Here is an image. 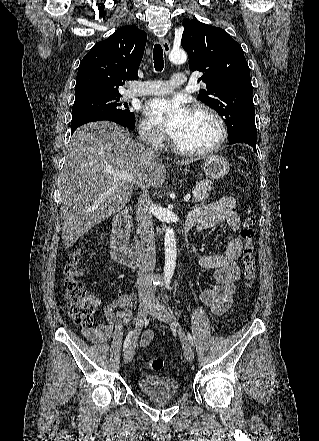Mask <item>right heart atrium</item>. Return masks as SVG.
I'll use <instances>...</instances> for the list:
<instances>
[{
	"instance_id": "d8ad5b80",
	"label": "right heart atrium",
	"mask_w": 319,
	"mask_h": 441,
	"mask_svg": "<svg viewBox=\"0 0 319 441\" xmlns=\"http://www.w3.org/2000/svg\"><path fill=\"white\" fill-rule=\"evenodd\" d=\"M141 140L155 148H162L165 144V136L149 119L144 118L139 125Z\"/></svg>"
}]
</instances>
